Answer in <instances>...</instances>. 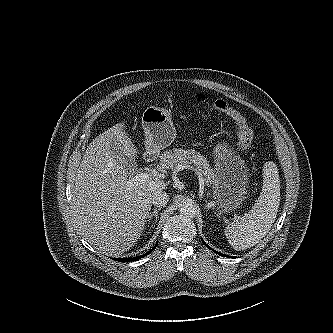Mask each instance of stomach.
I'll return each mask as SVG.
<instances>
[{
    "label": "stomach",
    "mask_w": 333,
    "mask_h": 333,
    "mask_svg": "<svg viewBox=\"0 0 333 333\" xmlns=\"http://www.w3.org/2000/svg\"><path fill=\"white\" fill-rule=\"evenodd\" d=\"M142 126L145 133L146 154H157L174 141L176 130L171 119V112L148 107L142 115ZM215 158L214 203L219 213L232 212L244 203L248 186V169L241 157L225 141L219 142L213 149Z\"/></svg>",
    "instance_id": "stomach-1"
}]
</instances>
